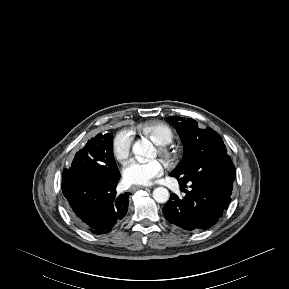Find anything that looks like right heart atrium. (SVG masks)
Segmentation results:
<instances>
[{"instance_id": "d8ad5b80", "label": "right heart atrium", "mask_w": 289, "mask_h": 289, "mask_svg": "<svg viewBox=\"0 0 289 289\" xmlns=\"http://www.w3.org/2000/svg\"><path fill=\"white\" fill-rule=\"evenodd\" d=\"M133 136L128 130L118 131L112 140V152L119 161H125L131 152Z\"/></svg>"}]
</instances>
